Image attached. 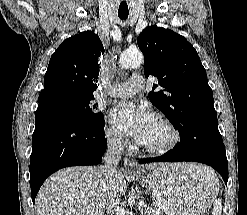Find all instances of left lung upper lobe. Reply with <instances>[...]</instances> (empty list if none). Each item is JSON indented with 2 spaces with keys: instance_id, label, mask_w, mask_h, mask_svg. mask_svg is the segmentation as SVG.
<instances>
[{
  "instance_id": "obj_1",
  "label": "left lung upper lobe",
  "mask_w": 247,
  "mask_h": 215,
  "mask_svg": "<svg viewBox=\"0 0 247 215\" xmlns=\"http://www.w3.org/2000/svg\"><path fill=\"white\" fill-rule=\"evenodd\" d=\"M144 54V74L156 77L149 99L180 135L186 131L217 127L212 89L197 51L181 35L148 26L137 39ZM157 86L163 90L154 92Z\"/></svg>"
}]
</instances>
